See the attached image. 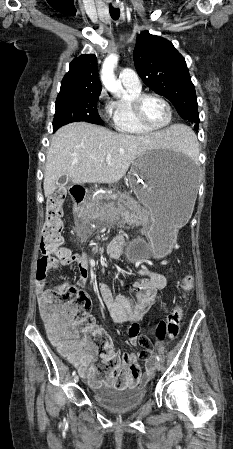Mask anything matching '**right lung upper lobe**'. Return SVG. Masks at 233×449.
Instances as JSON below:
<instances>
[{
  "mask_svg": "<svg viewBox=\"0 0 233 449\" xmlns=\"http://www.w3.org/2000/svg\"><path fill=\"white\" fill-rule=\"evenodd\" d=\"M101 82L97 76V59L93 54H83L69 65V72L61 82L58 95L100 93Z\"/></svg>",
  "mask_w": 233,
  "mask_h": 449,
  "instance_id": "cb5924a9",
  "label": "right lung upper lobe"
}]
</instances>
